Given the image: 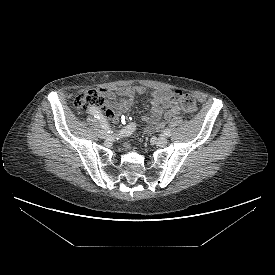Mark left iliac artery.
I'll use <instances>...</instances> for the list:
<instances>
[{
    "label": "left iliac artery",
    "mask_w": 275,
    "mask_h": 275,
    "mask_svg": "<svg viewBox=\"0 0 275 275\" xmlns=\"http://www.w3.org/2000/svg\"><path fill=\"white\" fill-rule=\"evenodd\" d=\"M164 136L169 137L171 135V131L169 129H165L163 131Z\"/></svg>",
    "instance_id": "left-iliac-artery-1"
}]
</instances>
